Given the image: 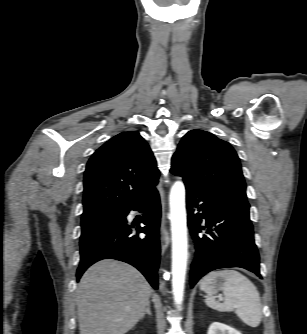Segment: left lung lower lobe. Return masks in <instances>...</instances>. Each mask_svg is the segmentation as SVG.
<instances>
[{"instance_id": "obj_1", "label": "left lung lower lobe", "mask_w": 307, "mask_h": 334, "mask_svg": "<svg viewBox=\"0 0 307 334\" xmlns=\"http://www.w3.org/2000/svg\"><path fill=\"white\" fill-rule=\"evenodd\" d=\"M185 186L188 225L195 243L191 287L206 273L218 268L241 267L262 278L249 203L192 184L185 183ZM196 210L200 213L194 214ZM202 219L206 221L205 227L200 225Z\"/></svg>"}]
</instances>
